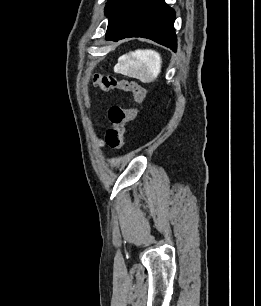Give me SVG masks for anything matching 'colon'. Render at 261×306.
Segmentation results:
<instances>
[{
  "instance_id": "obj_1",
  "label": "colon",
  "mask_w": 261,
  "mask_h": 306,
  "mask_svg": "<svg viewBox=\"0 0 261 306\" xmlns=\"http://www.w3.org/2000/svg\"><path fill=\"white\" fill-rule=\"evenodd\" d=\"M94 84L103 91L121 90L130 92L135 102L142 105L147 98L146 89L132 79H122L113 75L97 74L94 77ZM138 107L124 109L119 106H112L109 110V119L112 127L106 132V144L112 149L124 147V133L126 124L136 119L139 115Z\"/></svg>"
}]
</instances>
